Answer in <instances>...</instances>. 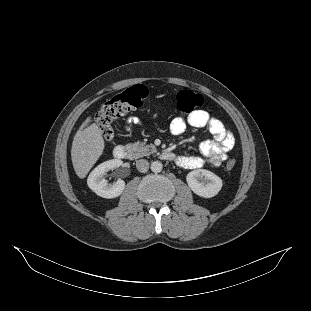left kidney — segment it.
<instances>
[{
    "mask_svg": "<svg viewBox=\"0 0 311 311\" xmlns=\"http://www.w3.org/2000/svg\"><path fill=\"white\" fill-rule=\"evenodd\" d=\"M186 179L191 189L204 197L214 196L222 187V180L206 169L193 170L188 173Z\"/></svg>",
    "mask_w": 311,
    "mask_h": 311,
    "instance_id": "1",
    "label": "left kidney"
}]
</instances>
